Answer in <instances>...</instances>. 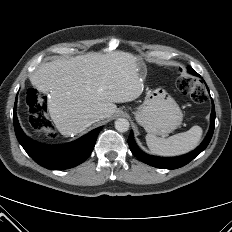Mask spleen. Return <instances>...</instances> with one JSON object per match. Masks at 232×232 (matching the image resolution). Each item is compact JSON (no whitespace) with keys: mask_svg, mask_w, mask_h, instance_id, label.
Listing matches in <instances>:
<instances>
[{"mask_svg":"<svg viewBox=\"0 0 232 232\" xmlns=\"http://www.w3.org/2000/svg\"><path fill=\"white\" fill-rule=\"evenodd\" d=\"M202 136V128L193 126L188 131L170 136L167 139L146 135V143L151 152L161 156H178L193 150Z\"/></svg>","mask_w":232,"mask_h":232,"instance_id":"obj_1","label":"spleen"}]
</instances>
